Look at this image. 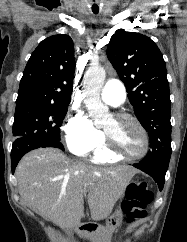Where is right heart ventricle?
<instances>
[{
	"label": "right heart ventricle",
	"mask_w": 187,
	"mask_h": 242,
	"mask_svg": "<svg viewBox=\"0 0 187 242\" xmlns=\"http://www.w3.org/2000/svg\"><path fill=\"white\" fill-rule=\"evenodd\" d=\"M92 160L95 163H115L120 161L121 159L109 154L106 151L105 147L101 145L94 150Z\"/></svg>",
	"instance_id": "1"
}]
</instances>
